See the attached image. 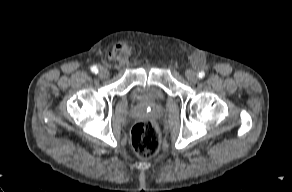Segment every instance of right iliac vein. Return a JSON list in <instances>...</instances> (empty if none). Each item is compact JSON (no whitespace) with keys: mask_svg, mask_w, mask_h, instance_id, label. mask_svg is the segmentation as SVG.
<instances>
[{"mask_svg":"<svg viewBox=\"0 0 292 192\" xmlns=\"http://www.w3.org/2000/svg\"><path fill=\"white\" fill-rule=\"evenodd\" d=\"M98 75L101 79H105L109 76V71L105 68H101Z\"/></svg>","mask_w":292,"mask_h":192,"instance_id":"1","label":"right iliac vein"}]
</instances>
